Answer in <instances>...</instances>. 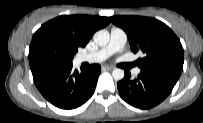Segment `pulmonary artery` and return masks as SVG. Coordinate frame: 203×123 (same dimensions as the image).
Returning <instances> with one entry per match:
<instances>
[{
    "mask_svg": "<svg viewBox=\"0 0 203 123\" xmlns=\"http://www.w3.org/2000/svg\"><path fill=\"white\" fill-rule=\"evenodd\" d=\"M126 43V34L124 30L119 27H113L110 32L109 43L98 51L81 54L78 56L77 60L79 63H99L105 61L115 52L122 50ZM139 68L133 70V74L137 76L140 73Z\"/></svg>",
    "mask_w": 203,
    "mask_h": 123,
    "instance_id": "obj_1",
    "label": "pulmonary artery"
}]
</instances>
